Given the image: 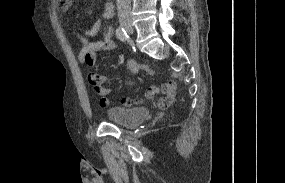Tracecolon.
I'll return each mask as SVG.
<instances>
[{
  "label": "colon",
  "instance_id": "colon-1",
  "mask_svg": "<svg viewBox=\"0 0 285 183\" xmlns=\"http://www.w3.org/2000/svg\"><path fill=\"white\" fill-rule=\"evenodd\" d=\"M125 70L128 74H135V73H138L139 71H146L150 74L153 73V70L151 68H149L148 66L143 65V64H139L136 62H130L127 65ZM127 82L129 83V81H127ZM133 102L134 101L132 99L126 100L127 105H131V104H133Z\"/></svg>",
  "mask_w": 285,
  "mask_h": 183
}]
</instances>
